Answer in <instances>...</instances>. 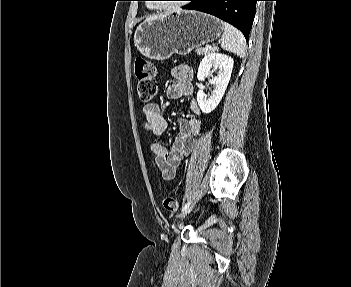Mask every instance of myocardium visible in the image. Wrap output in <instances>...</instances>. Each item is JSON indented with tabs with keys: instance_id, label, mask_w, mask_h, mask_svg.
Wrapping results in <instances>:
<instances>
[{
	"instance_id": "1",
	"label": "myocardium",
	"mask_w": 351,
	"mask_h": 287,
	"mask_svg": "<svg viewBox=\"0 0 351 287\" xmlns=\"http://www.w3.org/2000/svg\"><path fill=\"white\" fill-rule=\"evenodd\" d=\"M159 8H161V9H163V8H165V7H163L162 5H157Z\"/></svg>"
}]
</instances>
